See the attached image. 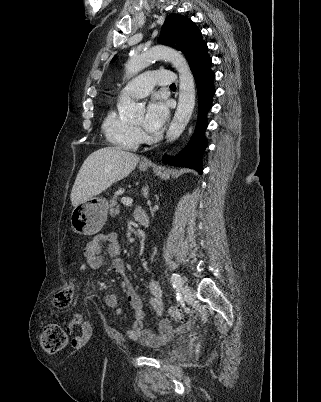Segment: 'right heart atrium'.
Here are the masks:
<instances>
[{
	"label": "right heart atrium",
	"instance_id": "d8ad5b80",
	"mask_svg": "<svg viewBox=\"0 0 321 402\" xmlns=\"http://www.w3.org/2000/svg\"><path fill=\"white\" fill-rule=\"evenodd\" d=\"M137 134H138L139 138H141V137H142L141 132H140V131H138V130H137Z\"/></svg>",
	"mask_w": 321,
	"mask_h": 402
}]
</instances>
